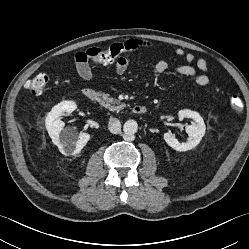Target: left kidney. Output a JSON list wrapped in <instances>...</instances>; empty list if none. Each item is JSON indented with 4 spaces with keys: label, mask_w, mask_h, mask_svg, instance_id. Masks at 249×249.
<instances>
[{
    "label": "left kidney",
    "mask_w": 249,
    "mask_h": 249,
    "mask_svg": "<svg viewBox=\"0 0 249 249\" xmlns=\"http://www.w3.org/2000/svg\"><path fill=\"white\" fill-rule=\"evenodd\" d=\"M178 117L179 120L190 118L194 121L191 125L186 126V132L189 135L188 141L180 143L178 139L173 137L169 132L164 134V140L176 151L191 150L200 143L205 134L206 126L204 120L198 112L189 109L180 110L178 112Z\"/></svg>",
    "instance_id": "1"
}]
</instances>
